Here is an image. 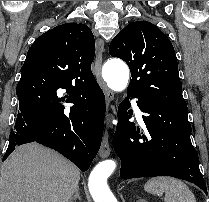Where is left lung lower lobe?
I'll list each match as a JSON object with an SVG mask.
<instances>
[{
  "label": "left lung lower lobe",
  "instance_id": "left-lung-lower-lobe-1",
  "mask_svg": "<svg viewBox=\"0 0 209 202\" xmlns=\"http://www.w3.org/2000/svg\"><path fill=\"white\" fill-rule=\"evenodd\" d=\"M130 97L138 98L137 105L145 114V132L129 121ZM117 115L113 147L121 159L123 179L172 176L194 183L207 194L198 155L190 140L187 107L157 103L128 93Z\"/></svg>",
  "mask_w": 209,
  "mask_h": 202
}]
</instances>
